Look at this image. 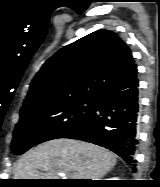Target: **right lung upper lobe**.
<instances>
[{
    "label": "right lung upper lobe",
    "mask_w": 160,
    "mask_h": 187,
    "mask_svg": "<svg viewBox=\"0 0 160 187\" xmlns=\"http://www.w3.org/2000/svg\"><path fill=\"white\" fill-rule=\"evenodd\" d=\"M134 65L129 47L97 30L49 58L32 80L21 112L79 98H97Z\"/></svg>",
    "instance_id": "1"
}]
</instances>
